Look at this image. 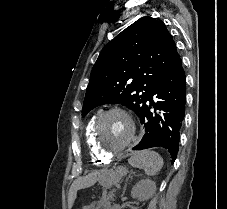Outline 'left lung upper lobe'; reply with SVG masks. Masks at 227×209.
Returning a JSON list of instances; mask_svg holds the SVG:
<instances>
[{"label":"left lung upper lobe","mask_w":227,"mask_h":209,"mask_svg":"<svg viewBox=\"0 0 227 209\" xmlns=\"http://www.w3.org/2000/svg\"><path fill=\"white\" fill-rule=\"evenodd\" d=\"M179 58L166 26L151 17L140 18L102 49L91 71L82 117L109 103H121L139 117Z\"/></svg>","instance_id":"obj_1"}]
</instances>
